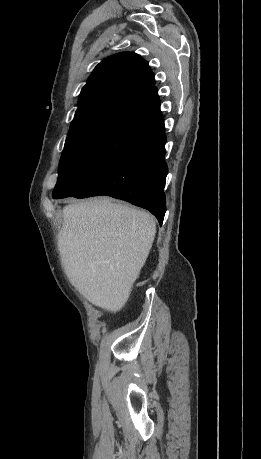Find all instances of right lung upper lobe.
I'll return each instance as SVG.
<instances>
[{
  "instance_id": "right-lung-upper-lobe-1",
  "label": "right lung upper lobe",
  "mask_w": 261,
  "mask_h": 459,
  "mask_svg": "<svg viewBox=\"0 0 261 459\" xmlns=\"http://www.w3.org/2000/svg\"><path fill=\"white\" fill-rule=\"evenodd\" d=\"M163 121L154 74L148 63L130 52L99 63L82 88L68 138L120 123L151 127Z\"/></svg>"
}]
</instances>
